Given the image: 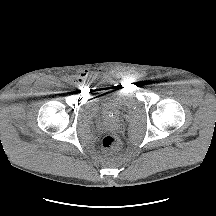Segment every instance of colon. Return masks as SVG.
<instances>
[{
    "mask_svg": "<svg viewBox=\"0 0 216 216\" xmlns=\"http://www.w3.org/2000/svg\"><path fill=\"white\" fill-rule=\"evenodd\" d=\"M102 146L107 150L117 149L120 146V139L116 134H107L102 140Z\"/></svg>",
    "mask_w": 216,
    "mask_h": 216,
    "instance_id": "colon-1",
    "label": "colon"
}]
</instances>
